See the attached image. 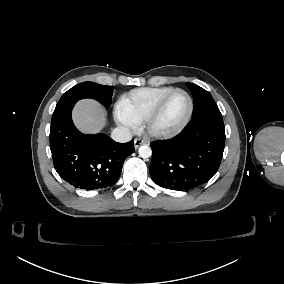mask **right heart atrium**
<instances>
[{
	"mask_svg": "<svg viewBox=\"0 0 284 284\" xmlns=\"http://www.w3.org/2000/svg\"><path fill=\"white\" fill-rule=\"evenodd\" d=\"M119 122L120 126L125 130V131H132L133 130V125L128 122L126 119L119 117Z\"/></svg>",
	"mask_w": 284,
	"mask_h": 284,
	"instance_id": "1",
	"label": "right heart atrium"
}]
</instances>
